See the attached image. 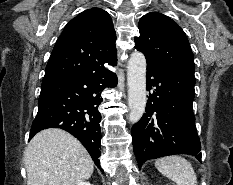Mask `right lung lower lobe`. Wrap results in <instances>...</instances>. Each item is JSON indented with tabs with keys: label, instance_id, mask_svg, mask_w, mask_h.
I'll return each mask as SVG.
<instances>
[{
	"label": "right lung lower lobe",
	"instance_id": "right-lung-lower-lobe-1",
	"mask_svg": "<svg viewBox=\"0 0 233 185\" xmlns=\"http://www.w3.org/2000/svg\"><path fill=\"white\" fill-rule=\"evenodd\" d=\"M116 84V74L107 69L43 81L29 139L46 128L64 129L80 140L103 172L98 159L101 155L98 106L102 102L101 91Z\"/></svg>",
	"mask_w": 233,
	"mask_h": 185
}]
</instances>
